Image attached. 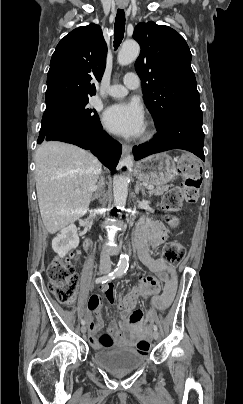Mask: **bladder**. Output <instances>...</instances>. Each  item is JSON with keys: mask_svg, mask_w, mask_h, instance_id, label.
Listing matches in <instances>:
<instances>
[{"mask_svg": "<svg viewBox=\"0 0 243 404\" xmlns=\"http://www.w3.org/2000/svg\"><path fill=\"white\" fill-rule=\"evenodd\" d=\"M94 359L97 365L113 374L134 371L147 362V356L132 347L99 350Z\"/></svg>", "mask_w": 243, "mask_h": 404, "instance_id": "obj_1", "label": "bladder"}]
</instances>
